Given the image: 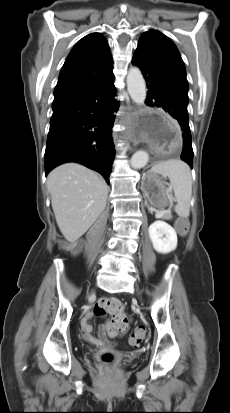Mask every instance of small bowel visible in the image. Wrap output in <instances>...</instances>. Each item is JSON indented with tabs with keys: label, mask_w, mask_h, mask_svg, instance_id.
Here are the masks:
<instances>
[{
	"label": "small bowel",
	"mask_w": 230,
	"mask_h": 413,
	"mask_svg": "<svg viewBox=\"0 0 230 413\" xmlns=\"http://www.w3.org/2000/svg\"><path fill=\"white\" fill-rule=\"evenodd\" d=\"M92 317H93V313H88L84 317L81 323L82 336L84 337L85 340L89 341L90 343L98 345L103 342V339L96 338L92 335V328L90 326V320L92 319ZM129 324H130V319L125 315V313H122L121 315L116 316V317H112L111 320L103 324L101 337H104L105 332H108V334L111 337H115L119 334H123L128 330Z\"/></svg>",
	"instance_id": "obj_1"
}]
</instances>
